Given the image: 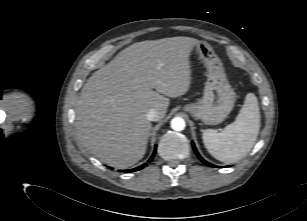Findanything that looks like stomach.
Returning <instances> with one entry per match:
<instances>
[{
  "instance_id": "0dacf381",
  "label": "stomach",
  "mask_w": 307,
  "mask_h": 221,
  "mask_svg": "<svg viewBox=\"0 0 307 221\" xmlns=\"http://www.w3.org/2000/svg\"><path fill=\"white\" fill-rule=\"evenodd\" d=\"M196 51L206 67L207 81L202 99L185 105L183 109L206 125H216L230 114L236 95L212 47L206 41H199Z\"/></svg>"
}]
</instances>
